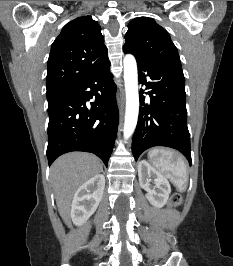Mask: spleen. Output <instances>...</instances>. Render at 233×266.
<instances>
[{
  "label": "spleen",
  "instance_id": "3e777b00",
  "mask_svg": "<svg viewBox=\"0 0 233 266\" xmlns=\"http://www.w3.org/2000/svg\"><path fill=\"white\" fill-rule=\"evenodd\" d=\"M148 159L161 174L174 184L179 192H184L188 183V170L183 158L176 152L154 148L148 152Z\"/></svg>",
  "mask_w": 233,
  "mask_h": 266
}]
</instances>
